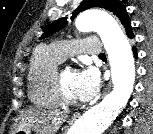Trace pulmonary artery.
I'll return each mask as SVG.
<instances>
[{"instance_id":"pulmonary-artery-1","label":"pulmonary artery","mask_w":153,"mask_h":134,"mask_svg":"<svg viewBox=\"0 0 153 134\" xmlns=\"http://www.w3.org/2000/svg\"><path fill=\"white\" fill-rule=\"evenodd\" d=\"M49 47L62 61L79 52L91 55H99L103 52L102 44L96 37H86L71 41H56L51 43Z\"/></svg>"}]
</instances>
